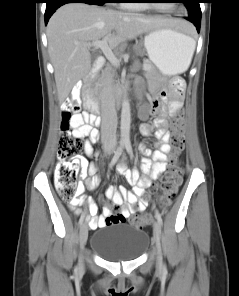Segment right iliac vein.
<instances>
[{"mask_svg":"<svg viewBox=\"0 0 239 296\" xmlns=\"http://www.w3.org/2000/svg\"><path fill=\"white\" fill-rule=\"evenodd\" d=\"M87 239H88V225H87L86 222H84L81 225L80 234H79V240H80V247H81V249H83L84 246L86 245ZM81 263H82V259H81Z\"/></svg>","mask_w":239,"mask_h":296,"instance_id":"right-iliac-vein-1","label":"right iliac vein"}]
</instances>
